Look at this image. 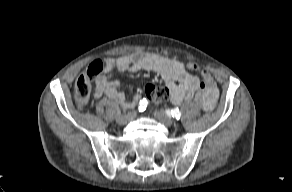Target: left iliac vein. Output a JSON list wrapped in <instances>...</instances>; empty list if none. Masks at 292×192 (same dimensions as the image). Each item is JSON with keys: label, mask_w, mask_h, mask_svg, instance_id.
I'll return each instance as SVG.
<instances>
[{"label": "left iliac vein", "mask_w": 292, "mask_h": 192, "mask_svg": "<svg viewBox=\"0 0 292 192\" xmlns=\"http://www.w3.org/2000/svg\"><path fill=\"white\" fill-rule=\"evenodd\" d=\"M154 117L163 123L164 125L170 127L173 125V121L171 118H169L167 115H165L162 111H154Z\"/></svg>", "instance_id": "left-iliac-vein-1"}]
</instances>
